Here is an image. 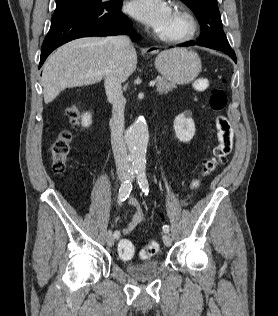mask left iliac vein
<instances>
[{
    "label": "left iliac vein",
    "instance_id": "left-iliac-vein-1",
    "mask_svg": "<svg viewBox=\"0 0 278 316\" xmlns=\"http://www.w3.org/2000/svg\"><path fill=\"white\" fill-rule=\"evenodd\" d=\"M163 242L166 246H170L172 244V239L168 234L163 235Z\"/></svg>",
    "mask_w": 278,
    "mask_h": 316
}]
</instances>
